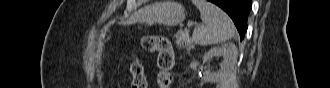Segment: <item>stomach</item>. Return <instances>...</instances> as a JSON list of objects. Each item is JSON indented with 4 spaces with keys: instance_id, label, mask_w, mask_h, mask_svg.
Wrapping results in <instances>:
<instances>
[{
    "instance_id": "stomach-1",
    "label": "stomach",
    "mask_w": 330,
    "mask_h": 88,
    "mask_svg": "<svg viewBox=\"0 0 330 88\" xmlns=\"http://www.w3.org/2000/svg\"><path fill=\"white\" fill-rule=\"evenodd\" d=\"M185 17L186 12L181 4L174 1H163L153 4L149 16L142 22L145 25L158 23L172 27L182 23ZM112 34L111 27L104 26L100 32V39L107 43L112 38Z\"/></svg>"
}]
</instances>
